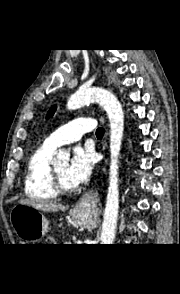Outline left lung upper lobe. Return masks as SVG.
Listing matches in <instances>:
<instances>
[{
    "label": "left lung upper lobe",
    "mask_w": 180,
    "mask_h": 294,
    "mask_svg": "<svg viewBox=\"0 0 180 294\" xmlns=\"http://www.w3.org/2000/svg\"><path fill=\"white\" fill-rule=\"evenodd\" d=\"M55 110H56V106H53V107L49 110V112L47 113V118L51 117V116L54 114Z\"/></svg>",
    "instance_id": "1"
}]
</instances>
